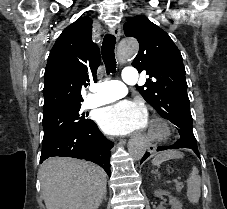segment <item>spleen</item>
I'll use <instances>...</instances> for the list:
<instances>
[{
  "label": "spleen",
  "instance_id": "obj_1",
  "mask_svg": "<svg viewBox=\"0 0 227 209\" xmlns=\"http://www.w3.org/2000/svg\"><path fill=\"white\" fill-rule=\"evenodd\" d=\"M183 153L180 151H161L159 155H156L152 161V165L159 167L164 161L169 159H183ZM201 195V177H199V171L196 167H192V171L187 179V199L189 203H198Z\"/></svg>",
  "mask_w": 227,
  "mask_h": 209
}]
</instances>
